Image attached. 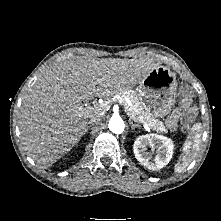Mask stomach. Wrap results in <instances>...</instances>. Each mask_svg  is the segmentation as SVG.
Wrapping results in <instances>:
<instances>
[{"instance_id": "obj_1", "label": "stomach", "mask_w": 221, "mask_h": 221, "mask_svg": "<svg viewBox=\"0 0 221 221\" xmlns=\"http://www.w3.org/2000/svg\"><path fill=\"white\" fill-rule=\"evenodd\" d=\"M142 109L154 117L168 115L177 97V81L175 74L165 66L153 68L143 77L137 89Z\"/></svg>"}]
</instances>
